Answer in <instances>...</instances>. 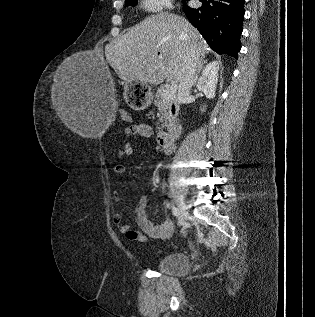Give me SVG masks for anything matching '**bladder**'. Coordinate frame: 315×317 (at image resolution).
Here are the masks:
<instances>
[{
    "label": "bladder",
    "mask_w": 315,
    "mask_h": 317,
    "mask_svg": "<svg viewBox=\"0 0 315 317\" xmlns=\"http://www.w3.org/2000/svg\"><path fill=\"white\" fill-rule=\"evenodd\" d=\"M189 258L183 253H169L162 256L156 264V268L163 273L183 275L190 270Z\"/></svg>",
    "instance_id": "31cf9c89"
}]
</instances>
